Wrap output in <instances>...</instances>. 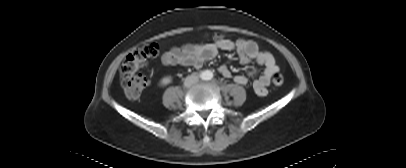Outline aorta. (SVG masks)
<instances>
[{
    "instance_id": "1",
    "label": "aorta",
    "mask_w": 406,
    "mask_h": 168,
    "mask_svg": "<svg viewBox=\"0 0 406 168\" xmlns=\"http://www.w3.org/2000/svg\"><path fill=\"white\" fill-rule=\"evenodd\" d=\"M213 78V72L210 70H205L202 73V79L204 80H211Z\"/></svg>"
}]
</instances>
